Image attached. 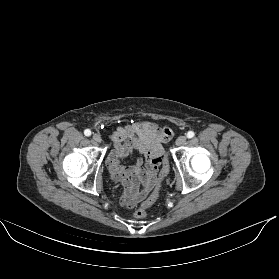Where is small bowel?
I'll list each match as a JSON object with an SVG mask.
<instances>
[{"mask_svg":"<svg viewBox=\"0 0 279 279\" xmlns=\"http://www.w3.org/2000/svg\"><path fill=\"white\" fill-rule=\"evenodd\" d=\"M172 136L173 131L168 126L161 127L149 121L133 122L113 131V150L107 159V166L112 178L123 184V207L133 208L152 190L161 164L162 143ZM135 151L142 158L132 165L122 166L120 162Z\"/></svg>","mask_w":279,"mask_h":279,"instance_id":"1","label":"small bowel"}]
</instances>
